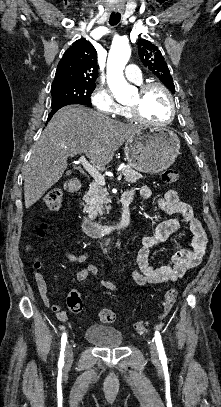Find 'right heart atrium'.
Returning <instances> with one entry per match:
<instances>
[{
    "instance_id": "right-heart-atrium-1",
    "label": "right heart atrium",
    "mask_w": 221,
    "mask_h": 407,
    "mask_svg": "<svg viewBox=\"0 0 221 407\" xmlns=\"http://www.w3.org/2000/svg\"><path fill=\"white\" fill-rule=\"evenodd\" d=\"M91 103L96 111L114 116L120 110V105L114 100L110 91L104 86H97L90 96Z\"/></svg>"
}]
</instances>
